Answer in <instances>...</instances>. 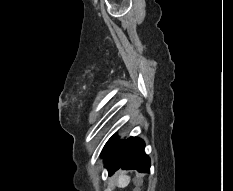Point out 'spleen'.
<instances>
[{"label":"spleen","mask_w":233,"mask_h":191,"mask_svg":"<svg viewBox=\"0 0 233 191\" xmlns=\"http://www.w3.org/2000/svg\"><path fill=\"white\" fill-rule=\"evenodd\" d=\"M129 184V178L126 175H121L118 178L117 185L120 188H124Z\"/></svg>","instance_id":"spleen-1"}]
</instances>
